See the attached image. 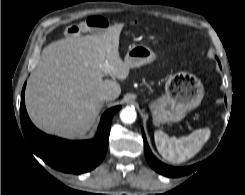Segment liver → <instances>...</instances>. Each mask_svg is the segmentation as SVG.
<instances>
[{
	"label": "liver",
	"instance_id": "1",
	"mask_svg": "<svg viewBox=\"0 0 245 195\" xmlns=\"http://www.w3.org/2000/svg\"><path fill=\"white\" fill-rule=\"evenodd\" d=\"M122 29L115 24L102 34L61 39L43 49L25 92L27 112L38 128L67 139L83 137L101 111V95L119 97L120 85L103 76L105 65L115 78L129 75L131 67L119 54Z\"/></svg>",
	"mask_w": 245,
	"mask_h": 195
}]
</instances>
